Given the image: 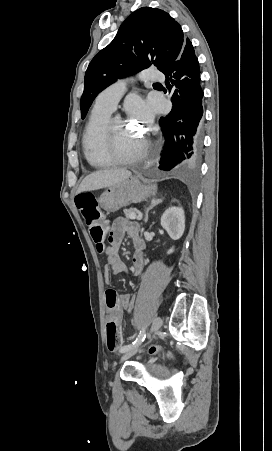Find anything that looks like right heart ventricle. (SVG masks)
<instances>
[{
  "instance_id": "right-heart-ventricle-1",
  "label": "right heart ventricle",
  "mask_w": 272,
  "mask_h": 451,
  "mask_svg": "<svg viewBox=\"0 0 272 451\" xmlns=\"http://www.w3.org/2000/svg\"><path fill=\"white\" fill-rule=\"evenodd\" d=\"M135 101L137 100L128 98L125 104H130ZM111 111L109 108L100 107L95 104L84 133L85 157L94 167L106 166L111 161V152L100 138L101 130L109 118Z\"/></svg>"
}]
</instances>
